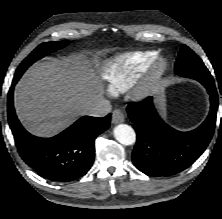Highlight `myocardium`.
Listing matches in <instances>:
<instances>
[{
  "mask_svg": "<svg viewBox=\"0 0 222 219\" xmlns=\"http://www.w3.org/2000/svg\"><path fill=\"white\" fill-rule=\"evenodd\" d=\"M167 60L163 57H159L153 61V63L149 66L145 78L141 85L137 88V95H144L148 92L150 88L155 86L160 82L164 73L167 70Z\"/></svg>",
  "mask_w": 222,
  "mask_h": 219,
  "instance_id": "1",
  "label": "myocardium"
}]
</instances>
